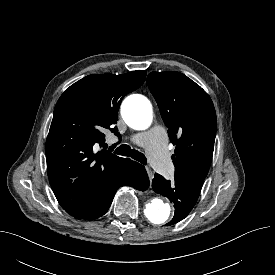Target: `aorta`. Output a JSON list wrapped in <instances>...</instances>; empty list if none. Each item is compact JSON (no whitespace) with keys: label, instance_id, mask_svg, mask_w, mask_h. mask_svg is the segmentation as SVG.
I'll return each instance as SVG.
<instances>
[{"label":"aorta","instance_id":"1","mask_svg":"<svg viewBox=\"0 0 275 275\" xmlns=\"http://www.w3.org/2000/svg\"><path fill=\"white\" fill-rule=\"evenodd\" d=\"M121 114L128 126L142 130L150 126L152 122L153 107L146 97L131 95L123 101ZM144 214L152 224L164 225L172 216V207L169 203L155 199L146 205Z\"/></svg>","mask_w":275,"mask_h":275}]
</instances>
